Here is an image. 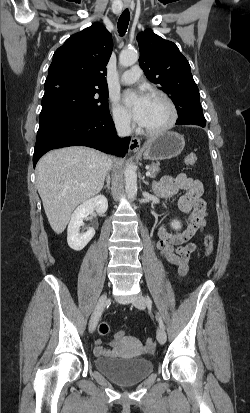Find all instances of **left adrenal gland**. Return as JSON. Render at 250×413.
<instances>
[{
	"instance_id": "obj_1",
	"label": "left adrenal gland",
	"mask_w": 250,
	"mask_h": 413,
	"mask_svg": "<svg viewBox=\"0 0 250 413\" xmlns=\"http://www.w3.org/2000/svg\"><path fill=\"white\" fill-rule=\"evenodd\" d=\"M142 181H143V183H145L146 185H149V183L144 180V177L142 178Z\"/></svg>"
}]
</instances>
